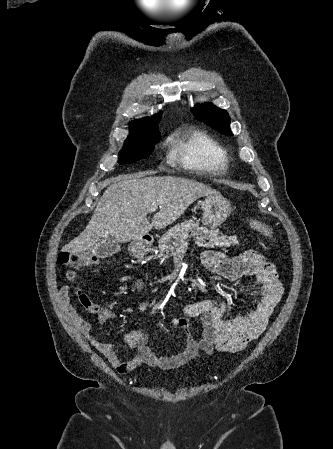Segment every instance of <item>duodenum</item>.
Listing matches in <instances>:
<instances>
[{
	"instance_id": "410a0bca",
	"label": "duodenum",
	"mask_w": 333,
	"mask_h": 449,
	"mask_svg": "<svg viewBox=\"0 0 333 449\" xmlns=\"http://www.w3.org/2000/svg\"><path fill=\"white\" fill-rule=\"evenodd\" d=\"M153 243V238L151 236L143 237L138 240L132 247V253L136 257L143 256L147 253Z\"/></svg>"
}]
</instances>
